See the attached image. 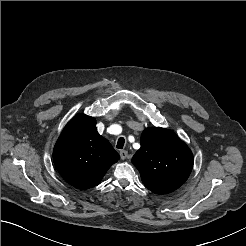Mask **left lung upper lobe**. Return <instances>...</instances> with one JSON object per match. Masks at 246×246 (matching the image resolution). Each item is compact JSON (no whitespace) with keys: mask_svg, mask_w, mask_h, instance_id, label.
Listing matches in <instances>:
<instances>
[{"mask_svg":"<svg viewBox=\"0 0 246 246\" xmlns=\"http://www.w3.org/2000/svg\"><path fill=\"white\" fill-rule=\"evenodd\" d=\"M132 163L149 190L166 194L185 183L194 162L189 147L173 131L154 127L143 131Z\"/></svg>","mask_w":246,"mask_h":246,"instance_id":"1","label":"left lung upper lobe"}]
</instances>
